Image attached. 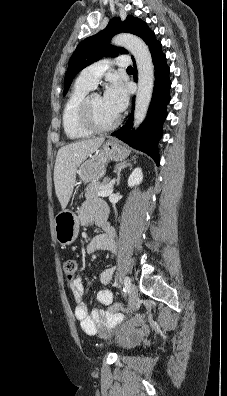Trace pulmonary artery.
Masks as SVG:
<instances>
[{
	"label": "pulmonary artery",
	"mask_w": 227,
	"mask_h": 396,
	"mask_svg": "<svg viewBox=\"0 0 227 396\" xmlns=\"http://www.w3.org/2000/svg\"><path fill=\"white\" fill-rule=\"evenodd\" d=\"M130 63V58L125 55L117 57L114 59V61L101 60L86 67L81 72L79 79L93 88L97 85L99 79L111 65H116L118 67H128Z\"/></svg>",
	"instance_id": "obj_1"
}]
</instances>
